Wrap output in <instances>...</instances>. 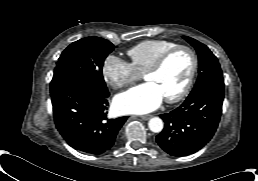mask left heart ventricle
Masks as SVG:
<instances>
[{"label": "left heart ventricle", "mask_w": 258, "mask_h": 181, "mask_svg": "<svg viewBox=\"0 0 258 181\" xmlns=\"http://www.w3.org/2000/svg\"><path fill=\"white\" fill-rule=\"evenodd\" d=\"M191 57L186 51H178L164 64L162 69L144 77L147 82L154 83L162 92L164 98L178 94L189 77Z\"/></svg>", "instance_id": "1"}]
</instances>
